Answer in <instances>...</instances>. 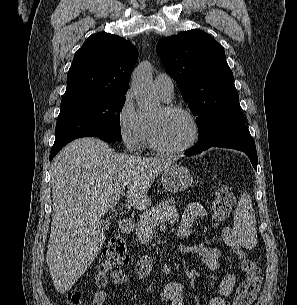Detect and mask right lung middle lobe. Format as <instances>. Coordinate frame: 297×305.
Instances as JSON below:
<instances>
[{"label":"right lung middle lobe","mask_w":297,"mask_h":305,"mask_svg":"<svg viewBox=\"0 0 297 305\" xmlns=\"http://www.w3.org/2000/svg\"><path fill=\"white\" fill-rule=\"evenodd\" d=\"M125 94L115 96H82L61 101L52 148L87 136L121 140L120 112Z\"/></svg>","instance_id":"right-lung-middle-lobe-1"}]
</instances>
